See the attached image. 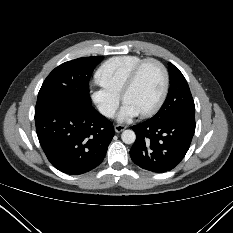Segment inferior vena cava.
<instances>
[{
    "instance_id": "obj_1",
    "label": "inferior vena cava",
    "mask_w": 233,
    "mask_h": 233,
    "mask_svg": "<svg viewBox=\"0 0 233 233\" xmlns=\"http://www.w3.org/2000/svg\"><path fill=\"white\" fill-rule=\"evenodd\" d=\"M101 114L107 117H113L115 114V108L109 106V105H99L98 107Z\"/></svg>"
}]
</instances>
